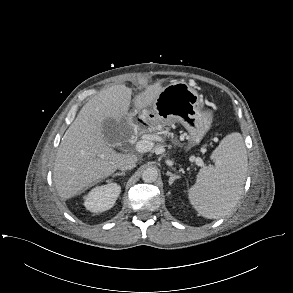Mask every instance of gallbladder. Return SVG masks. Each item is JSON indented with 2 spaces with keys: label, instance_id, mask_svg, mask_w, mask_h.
<instances>
[{
  "label": "gallbladder",
  "instance_id": "bac80fb5",
  "mask_svg": "<svg viewBox=\"0 0 293 293\" xmlns=\"http://www.w3.org/2000/svg\"><path fill=\"white\" fill-rule=\"evenodd\" d=\"M103 133L107 140L114 144L119 140V124L116 120L108 118L103 123Z\"/></svg>",
  "mask_w": 293,
  "mask_h": 293
}]
</instances>
